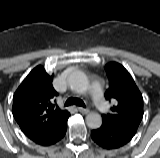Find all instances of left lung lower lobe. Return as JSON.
Wrapping results in <instances>:
<instances>
[{
  "label": "left lung lower lobe",
  "mask_w": 160,
  "mask_h": 158,
  "mask_svg": "<svg viewBox=\"0 0 160 158\" xmlns=\"http://www.w3.org/2000/svg\"><path fill=\"white\" fill-rule=\"evenodd\" d=\"M133 136L105 123L91 132L93 141L105 148L120 147L130 141Z\"/></svg>",
  "instance_id": "1"
}]
</instances>
